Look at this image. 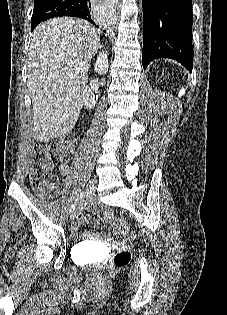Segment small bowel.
<instances>
[{
    "label": "small bowel",
    "mask_w": 227,
    "mask_h": 315,
    "mask_svg": "<svg viewBox=\"0 0 227 315\" xmlns=\"http://www.w3.org/2000/svg\"><path fill=\"white\" fill-rule=\"evenodd\" d=\"M59 172L64 175L67 176L70 173V167L67 164H61L59 166ZM37 193L41 196V197H47L51 192L56 193L57 190L54 187H49L48 189H36ZM90 221V217L88 214H84L80 221L75 223V225L73 226V232L76 233L78 231L79 226L81 225V223H87Z\"/></svg>",
    "instance_id": "obj_1"
}]
</instances>
